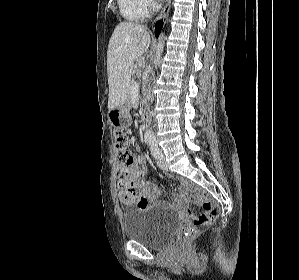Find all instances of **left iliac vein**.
<instances>
[{
    "label": "left iliac vein",
    "instance_id": "1",
    "mask_svg": "<svg viewBox=\"0 0 299 280\" xmlns=\"http://www.w3.org/2000/svg\"><path fill=\"white\" fill-rule=\"evenodd\" d=\"M157 164L159 166V168L163 169V170H167V164L165 161V157L162 153V156L160 157V159H158Z\"/></svg>",
    "mask_w": 299,
    "mask_h": 280
}]
</instances>
